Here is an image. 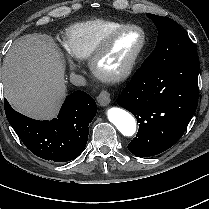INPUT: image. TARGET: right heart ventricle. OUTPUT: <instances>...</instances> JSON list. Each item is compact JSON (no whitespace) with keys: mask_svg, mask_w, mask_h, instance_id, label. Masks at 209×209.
<instances>
[{"mask_svg":"<svg viewBox=\"0 0 209 209\" xmlns=\"http://www.w3.org/2000/svg\"><path fill=\"white\" fill-rule=\"evenodd\" d=\"M124 24L127 23L109 19H91L72 24L63 32L65 49L74 59H87L111 29Z\"/></svg>","mask_w":209,"mask_h":209,"instance_id":"right-heart-ventricle-1","label":"right heart ventricle"}]
</instances>
